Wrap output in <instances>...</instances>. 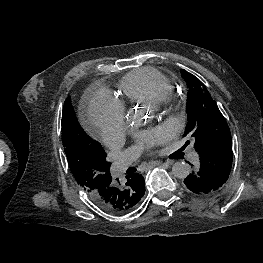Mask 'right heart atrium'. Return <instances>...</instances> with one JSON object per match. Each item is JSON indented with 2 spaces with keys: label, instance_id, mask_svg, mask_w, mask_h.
Here are the masks:
<instances>
[{
  "label": "right heart atrium",
  "instance_id": "d8ad5b80",
  "mask_svg": "<svg viewBox=\"0 0 263 263\" xmlns=\"http://www.w3.org/2000/svg\"><path fill=\"white\" fill-rule=\"evenodd\" d=\"M88 119L101 140L108 143L124 129L125 110L123 105L108 93H95L89 104Z\"/></svg>",
  "mask_w": 263,
  "mask_h": 263
}]
</instances>
